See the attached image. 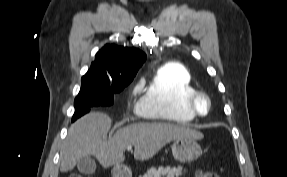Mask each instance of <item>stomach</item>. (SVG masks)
I'll return each mask as SVG.
<instances>
[{
  "label": "stomach",
  "instance_id": "0dacf381",
  "mask_svg": "<svg viewBox=\"0 0 287 177\" xmlns=\"http://www.w3.org/2000/svg\"><path fill=\"white\" fill-rule=\"evenodd\" d=\"M172 153L176 160L185 163L192 162L199 158L202 154V149L197 143V139L184 137L174 141ZM125 174L126 170L120 165H115L112 169L113 177H124Z\"/></svg>",
  "mask_w": 287,
  "mask_h": 177
}]
</instances>
